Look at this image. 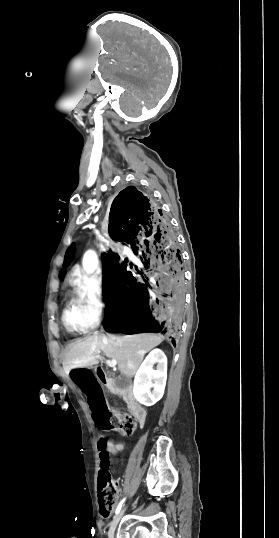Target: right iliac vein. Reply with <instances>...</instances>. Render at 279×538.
<instances>
[{"instance_id": "right-iliac-vein-1", "label": "right iliac vein", "mask_w": 279, "mask_h": 538, "mask_svg": "<svg viewBox=\"0 0 279 538\" xmlns=\"http://www.w3.org/2000/svg\"><path fill=\"white\" fill-rule=\"evenodd\" d=\"M125 510H126V507H125L123 510H121V511L115 516V518L113 519V521L111 522L110 527H109V531H108V537H109V538H114L115 530H116L117 525H118L120 519L122 518V516H123Z\"/></svg>"}]
</instances>
